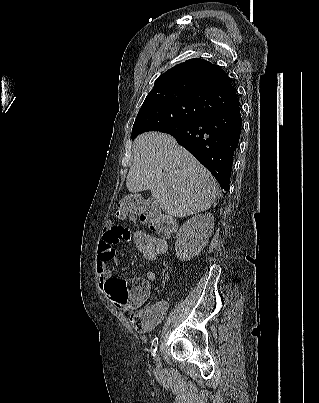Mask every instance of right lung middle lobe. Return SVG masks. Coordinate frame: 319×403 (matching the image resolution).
<instances>
[{
    "mask_svg": "<svg viewBox=\"0 0 319 403\" xmlns=\"http://www.w3.org/2000/svg\"><path fill=\"white\" fill-rule=\"evenodd\" d=\"M210 111L192 103H160L139 110L132 129V139L147 131L193 123Z\"/></svg>",
    "mask_w": 319,
    "mask_h": 403,
    "instance_id": "right-lung-middle-lobe-1",
    "label": "right lung middle lobe"
}]
</instances>
